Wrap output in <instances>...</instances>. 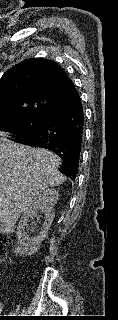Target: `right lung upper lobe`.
I'll return each instance as SVG.
<instances>
[{"instance_id":"1","label":"right lung upper lobe","mask_w":118,"mask_h":320,"mask_svg":"<svg viewBox=\"0 0 118 320\" xmlns=\"http://www.w3.org/2000/svg\"><path fill=\"white\" fill-rule=\"evenodd\" d=\"M77 95L66 72L54 61L28 59L0 79V120L45 119L53 108Z\"/></svg>"}]
</instances>
